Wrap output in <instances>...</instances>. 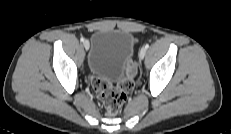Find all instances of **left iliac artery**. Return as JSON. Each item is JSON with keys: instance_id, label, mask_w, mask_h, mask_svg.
I'll return each mask as SVG.
<instances>
[{"instance_id": "left-iliac-artery-1", "label": "left iliac artery", "mask_w": 231, "mask_h": 134, "mask_svg": "<svg viewBox=\"0 0 231 134\" xmlns=\"http://www.w3.org/2000/svg\"><path fill=\"white\" fill-rule=\"evenodd\" d=\"M145 48L148 49V48H149V44H146V45H145Z\"/></svg>"}]
</instances>
